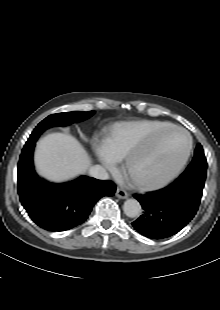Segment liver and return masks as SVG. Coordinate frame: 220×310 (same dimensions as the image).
<instances>
[{
    "instance_id": "liver-1",
    "label": "liver",
    "mask_w": 220,
    "mask_h": 310,
    "mask_svg": "<svg viewBox=\"0 0 220 310\" xmlns=\"http://www.w3.org/2000/svg\"><path fill=\"white\" fill-rule=\"evenodd\" d=\"M38 173L54 182H62L85 173L91 159L76 138L52 133L42 138L35 152Z\"/></svg>"
}]
</instances>
